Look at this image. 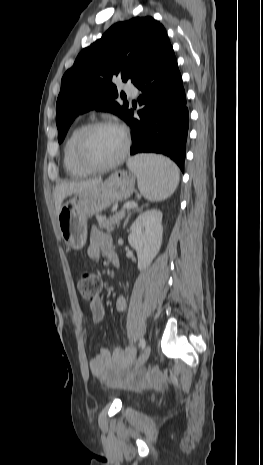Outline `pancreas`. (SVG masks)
I'll use <instances>...</instances> for the list:
<instances>
[{
    "label": "pancreas",
    "mask_w": 263,
    "mask_h": 465,
    "mask_svg": "<svg viewBox=\"0 0 263 465\" xmlns=\"http://www.w3.org/2000/svg\"><path fill=\"white\" fill-rule=\"evenodd\" d=\"M124 216L125 211H121L120 213H116L115 215L109 218L100 215H97L96 218L98 221L99 228L111 232L112 230H114L116 226L118 227L120 225V221L124 218Z\"/></svg>",
    "instance_id": "1"
}]
</instances>
